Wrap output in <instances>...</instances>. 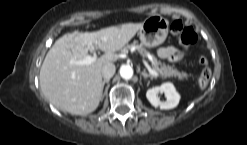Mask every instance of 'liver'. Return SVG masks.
<instances>
[{
    "label": "liver",
    "mask_w": 247,
    "mask_h": 145,
    "mask_svg": "<svg viewBox=\"0 0 247 145\" xmlns=\"http://www.w3.org/2000/svg\"><path fill=\"white\" fill-rule=\"evenodd\" d=\"M143 23H126L96 32L64 34L46 54L40 69V87L45 98L61 111L85 116L99 105L102 96V67L115 60L122 49L142 28ZM105 52L90 65H76L88 51Z\"/></svg>",
    "instance_id": "liver-1"
}]
</instances>
